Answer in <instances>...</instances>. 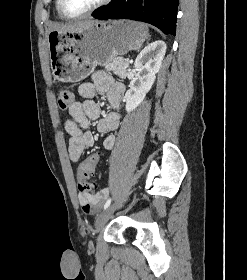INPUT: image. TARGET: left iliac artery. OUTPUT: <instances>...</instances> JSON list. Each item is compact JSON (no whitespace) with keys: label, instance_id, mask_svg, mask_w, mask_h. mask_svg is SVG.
Returning a JSON list of instances; mask_svg holds the SVG:
<instances>
[{"label":"left iliac artery","instance_id":"1","mask_svg":"<svg viewBox=\"0 0 247 280\" xmlns=\"http://www.w3.org/2000/svg\"><path fill=\"white\" fill-rule=\"evenodd\" d=\"M110 204H111V198H109V199L106 201V203L104 204V210H105L106 208H108Z\"/></svg>","mask_w":247,"mask_h":280}]
</instances>
